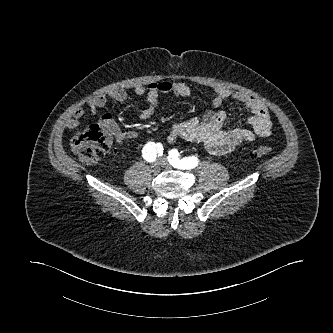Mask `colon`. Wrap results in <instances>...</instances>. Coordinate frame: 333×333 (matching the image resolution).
Wrapping results in <instances>:
<instances>
[{
    "mask_svg": "<svg viewBox=\"0 0 333 333\" xmlns=\"http://www.w3.org/2000/svg\"><path fill=\"white\" fill-rule=\"evenodd\" d=\"M113 142L112 133L99 124L90 125L84 132L75 135L71 141L72 150L88 164L100 161L110 150ZM268 146H258L249 150L253 158L271 154Z\"/></svg>",
    "mask_w": 333,
    "mask_h": 333,
    "instance_id": "1",
    "label": "colon"
}]
</instances>
